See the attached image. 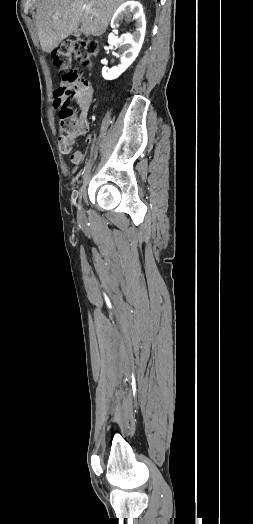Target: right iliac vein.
<instances>
[{
    "instance_id": "63e3f726",
    "label": "right iliac vein",
    "mask_w": 253,
    "mask_h": 524,
    "mask_svg": "<svg viewBox=\"0 0 253 524\" xmlns=\"http://www.w3.org/2000/svg\"><path fill=\"white\" fill-rule=\"evenodd\" d=\"M82 213H83L82 212V206H81V204H79V206H78V215L81 216Z\"/></svg>"
}]
</instances>
